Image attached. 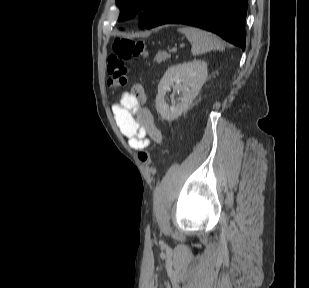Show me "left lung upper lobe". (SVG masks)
<instances>
[{
  "label": "left lung upper lobe",
  "instance_id": "1",
  "mask_svg": "<svg viewBox=\"0 0 309 288\" xmlns=\"http://www.w3.org/2000/svg\"><path fill=\"white\" fill-rule=\"evenodd\" d=\"M169 0H116V4L121 10L118 21L126 20L134 15L139 9L144 8L146 13L141 18L140 27L145 28L152 19Z\"/></svg>",
  "mask_w": 309,
  "mask_h": 288
}]
</instances>
